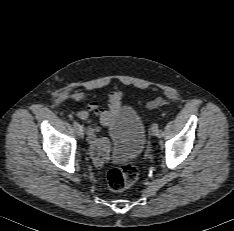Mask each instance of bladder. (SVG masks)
<instances>
[{"label":"bladder","instance_id":"1","mask_svg":"<svg viewBox=\"0 0 234 231\" xmlns=\"http://www.w3.org/2000/svg\"><path fill=\"white\" fill-rule=\"evenodd\" d=\"M118 148L116 162H125L138 157L145 145V126L138 113L127 105H120L109 128Z\"/></svg>","mask_w":234,"mask_h":231}]
</instances>
